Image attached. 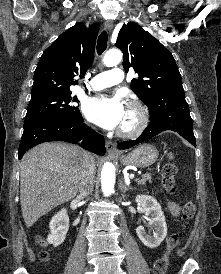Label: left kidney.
<instances>
[{"label":"left kidney","instance_id":"1","mask_svg":"<svg viewBox=\"0 0 221 274\" xmlns=\"http://www.w3.org/2000/svg\"><path fill=\"white\" fill-rule=\"evenodd\" d=\"M135 202L145 212L148 224L153 226V235L147 234L141 225L136 228V233L145 246L156 248L167 235V225L161 206L154 197L148 195H138Z\"/></svg>","mask_w":221,"mask_h":274}]
</instances>
